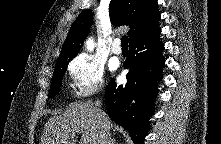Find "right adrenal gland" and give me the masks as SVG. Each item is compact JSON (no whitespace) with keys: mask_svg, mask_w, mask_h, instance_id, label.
<instances>
[{"mask_svg":"<svg viewBox=\"0 0 221 144\" xmlns=\"http://www.w3.org/2000/svg\"><path fill=\"white\" fill-rule=\"evenodd\" d=\"M110 144H117L115 139H111Z\"/></svg>","mask_w":221,"mask_h":144,"instance_id":"1","label":"right adrenal gland"}]
</instances>
